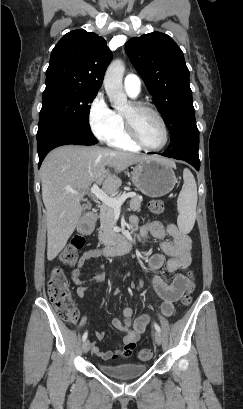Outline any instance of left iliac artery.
<instances>
[{
  "instance_id": "obj_1",
  "label": "left iliac artery",
  "mask_w": 243,
  "mask_h": 409,
  "mask_svg": "<svg viewBox=\"0 0 243 409\" xmlns=\"http://www.w3.org/2000/svg\"><path fill=\"white\" fill-rule=\"evenodd\" d=\"M154 328L156 331L161 332V329L157 323H154Z\"/></svg>"
}]
</instances>
